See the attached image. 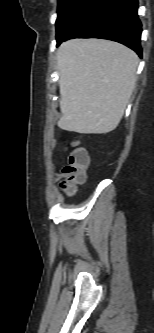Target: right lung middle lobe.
<instances>
[{"label":"right lung middle lobe","mask_w":154,"mask_h":333,"mask_svg":"<svg viewBox=\"0 0 154 333\" xmlns=\"http://www.w3.org/2000/svg\"><path fill=\"white\" fill-rule=\"evenodd\" d=\"M99 2L100 0H58L57 42L69 35L84 21Z\"/></svg>","instance_id":"right-lung-middle-lobe-1"}]
</instances>
